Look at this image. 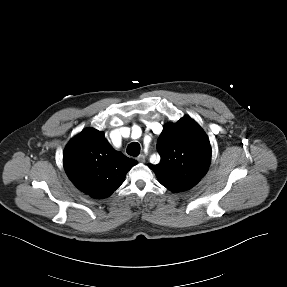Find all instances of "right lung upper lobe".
Here are the masks:
<instances>
[{
  "instance_id": "1",
  "label": "right lung upper lobe",
  "mask_w": 287,
  "mask_h": 287,
  "mask_svg": "<svg viewBox=\"0 0 287 287\" xmlns=\"http://www.w3.org/2000/svg\"><path fill=\"white\" fill-rule=\"evenodd\" d=\"M63 164L70 180L93 198L110 196L137 161L111 147L102 131L87 128L67 144Z\"/></svg>"
}]
</instances>
